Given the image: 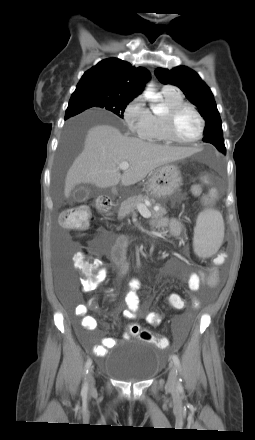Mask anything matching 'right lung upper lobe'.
Masks as SVG:
<instances>
[{
  "instance_id": "cb5924a9",
  "label": "right lung upper lobe",
  "mask_w": 255,
  "mask_h": 440,
  "mask_svg": "<svg viewBox=\"0 0 255 440\" xmlns=\"http://www.w3.org/2000/svg\"><path fill=\"white\" fill-rule=\"evenodd\" d=\"M149 79L150 72L146 68L108 58L84 73L74 93L99 92L132 100L143 91Z\"/></svg>"
}]
</instances>
